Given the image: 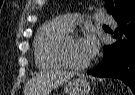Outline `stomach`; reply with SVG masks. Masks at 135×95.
Segmentation results:
<instances>
[{"label": "stomach", "mask_w": 135, "mask_h": 95, "mask_svg": "<svg viewBox=\"0 0 135 95\" xmlns=\"http://www.w3.org/2000/svg\"><path fill=\"white\" fill-rule=\"evenodd\" d=\"M90 91V82L84 77L72 79L65 84L66 95H86Z\"/></svg>", "instance_id": "1"}]
</instances>
